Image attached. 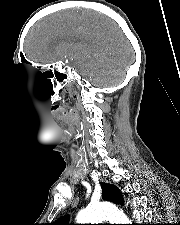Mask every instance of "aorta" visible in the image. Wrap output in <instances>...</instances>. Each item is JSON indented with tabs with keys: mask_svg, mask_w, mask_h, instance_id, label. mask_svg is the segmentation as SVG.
Segmentation results:
<instances>
[{
	"mask_svg": "<svg viewBox=\"0 0 180 225\" xmlns=\"http://www.w3.org/2000/svg\"><path fill=\"white\" fill-rule=\"evenodd\" d=\"M79 224H98L101 221H109L110 224H130V220L115 205L100 203L88 205L78 212L76 217Z\"/></svg>",
	"mask_w": 180,
	"mask_h": 225,
	"instance_id": "obj_1",
	"label": "aorta"
}]
</instances>
